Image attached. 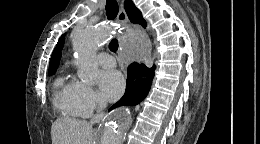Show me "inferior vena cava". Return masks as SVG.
<instances>
[{"mask_svg": "<svg viewBox=\"0 0 260 144\" xmlns=\"http://www.w3.org/2000/svg\"><path fill=\"white\" fill-rule=\"evenodd\" d=\"M105 106H106L105 102H103V101L99 102L97 113L90 120L91 125L101 122V120L103 119V116H104L103 109L105 108Z\"/></svg>", "mask_w": 260, "mask_h": 144, "instance_id": "602c4592", "label": "inferior vena cava"}]
</instances>
